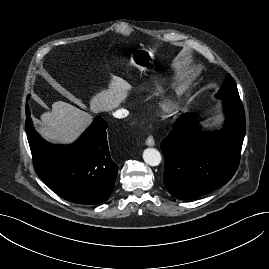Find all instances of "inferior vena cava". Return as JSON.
Wrapping results in <instances>:
<instances>
[{
    "instance_id": "1",
    "label": "inferior vena cava",
    "mask_w": 269,
    "mask_h": 269,
    "mask_svg": "<svg viewBox=\"0 0 269 269\" xmlns=\"http://www.w3.org/2000/svg\"><path fill=\"white\" fill-rule=\"evenodd\" d=\"M129 115V111L126 109H118L113 113L115 118H125Z\"/></svg>"
}]
</instances>
